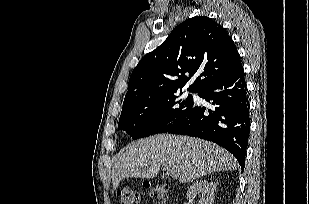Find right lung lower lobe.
Listing matches in <instances>:
<instances>
[{"label": "right lung lower lobe", "instance_id": "98d812e1", "mask_svg": "<svg viewBox=\"0 0 309 204\" xmlns=\"http://www.w3.org/2000/svg\"><path fill=\"white\" fill-rule=\"evenodd\" d=\"M198 96L211 103L212 109L193 106L167 132L215 142L231 152L244 168L250 118L242 65L230 76L208 84Z\"/></svg>", "mask_w": 309, "mask_h": 204}]
</instances>
